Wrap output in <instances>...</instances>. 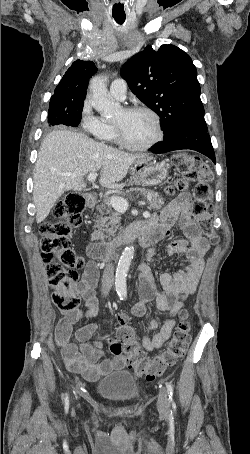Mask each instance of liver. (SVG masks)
I'll list each match as a JSON object with an SVG mask.
<instances>
[{
  "mask_svg": "<svg viewBox=\"0 0 250 454\" xmlns=\"http://www.w3.org/2000/svg\"><path fill=\"white\" fill-rule=\"evenodd\" d=\"M142 155L129 154L96 142L78 132L52 131L43 140L33 172L36 221L41 223L58 198L86 187L84 176L100 171V184L120 189L119 182Z\"/></svg>",
  "mask_w": 250,
  "mask_h": 454,
  "instance_id": "liver-1",
  "label": "liver"
}]
</instances>
